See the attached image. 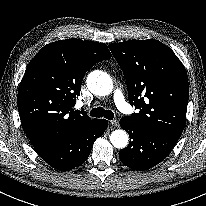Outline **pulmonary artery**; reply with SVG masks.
<instances>
[{"instance_id": "e3ab8cb5", "label": "pulmonary artery", "mask_w": 206, "mask_h": 206, "mask_svg": "<svg viewBox=\"0 0 206 206\" xmlns=\"http://www.w3.org/2000/svg\"><path fill=\"white\" fill-rule=\"evenodd\" d=\"M113 100L117 108L123 113H129L131 111L130 106L126 103L125 98L121 90L116 89L113 92Z\"/></svg>"}]
</instances>
